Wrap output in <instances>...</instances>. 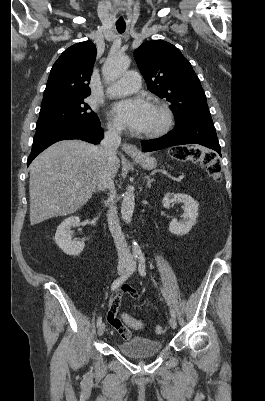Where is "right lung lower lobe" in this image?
<instances>
[{"label":"right lung lower lobe","instance_id":"98d812e1","mask_svg":"<svg viewBox=\"0 0 265 401\" xmlns=\"http://www.w3.org/2000/svg\"><path fill=\"white\" fill-rule=\"evenodd\" d=\"M104 137V131L100 125L83 123H56L36 128L32 151L28 157L27 165L53 143L66 139H81L93 144H98Z\"/></svg>","mask_w":265,"mask_h":401}]
</instances>
